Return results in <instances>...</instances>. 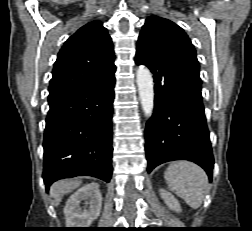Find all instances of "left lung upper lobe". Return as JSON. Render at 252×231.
<instances>
[{
  "label": "left lung upper lobe",
  "mask_w": 252,
  "mask_h": 231,
  "mask_svg": "<svg viewBox=\"0 0 252 231\" xmlns=\"http://www.w3.org/2000/svg\"><path fill=\"white\" fill-rule=\"evenodd\" d=\"M137 52L177 56L199 65L195 48L183 29L172 21L158 16L146 19L138 38Z\"/></svg>",
  "instance_id": "1"
}]
</instances>
